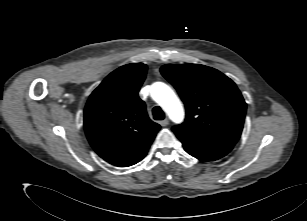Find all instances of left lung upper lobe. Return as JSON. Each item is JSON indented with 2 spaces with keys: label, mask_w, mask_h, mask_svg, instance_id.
<instances>
[{
  "label": "left lung upper lobe",
  "mask_w": 307,
  "mask_h": 221,
  "mask_svg": "<svg viewBox=\"0 0 307 221\" xmlns=\"http://www.w3.org/2000/svg\"><path fill=\"white\" fill-rule=\"evenodd\" d=\"M160 71L186 107L185 121L173 127L176 135L211 144H236L243 129L246 103L230 78L200 64H167Z\"/></svg>",
  "instance_id": "5c2ea615"
}]
</instances>
